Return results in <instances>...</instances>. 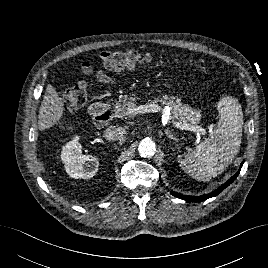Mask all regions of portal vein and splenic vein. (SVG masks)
Instances as JSON below:
<instances>
[{"mask_svg": "<svg viewBox=\"0 0 268 268\" xmlns=\"http://www.w3.org/2000/svg\"><path fill=\"white\" fill-rule=\"evenodd\" d=\"M160 111L162 112L164 119H167V120L170 119V117H169L170 109L168 107L162 109L157 104L150 103V104H144V105H139V106L132 104L128 108V112L130 114H133V115H137L139 113H151V112L156 113V112H160ZM172 122H173L175 127L179 128L181 130H188V131L197 132V133H204L205 132V129L200 127V126L182 124V123L175 122V121H172ZM209 128H211V126Z\"/></svg>", "mask_w": 268, "mask_h": 268, "instance_id": "18ae733b", "label": "portal vein and splenic vein"}]
</instances>
